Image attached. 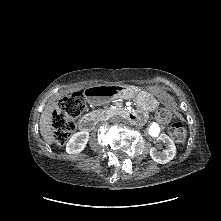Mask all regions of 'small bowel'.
Masks as SVG:
<instances>
[{"mask_svg": "<svg viewBox=\"0 0 221 221\" xmlns=\"http://www.w3.org/2000/svg\"><path fill=\"white\" fill-rule=\"evenodd\" d=\"M162 100L169 105L172 104V98L170 96L165 95L162 97ZM142 119H143V117H142Z\"/></svg>", "mask_w": 221, "mask_h": 221, "instance_id": "obj_1", "label": "small bowel"}]
</instances>
